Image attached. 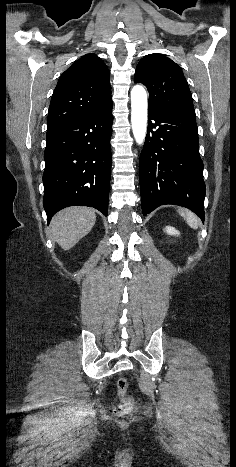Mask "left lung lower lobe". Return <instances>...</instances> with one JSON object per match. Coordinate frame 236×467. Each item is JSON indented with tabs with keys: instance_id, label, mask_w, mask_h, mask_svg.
Returning <instances> with one entry per match:
<instances>
[{
	"instance_id": "0a47b994",
	"label": "left lung lower lobe",
	"mask_w": 236,
	"mask_h": 467,
	"mask_svg": "<svg viewBox=\"0 0 236 467\" xmlns=\"http://www.w3.org/2000/svg\"><path fill=\"white\" fill-rule=\"evenodd\" d=\"M139 178L143 215L174 204L204 221L205 183L195 111L149 107Z\"/></svg>"
}]
</instances>
